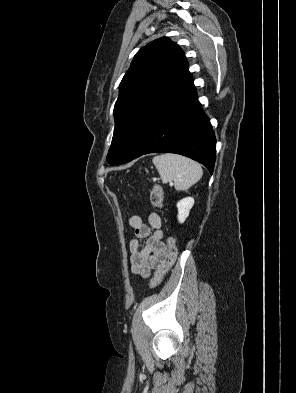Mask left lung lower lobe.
Returning <instances> with one entry per match:
<instances>
[{
	"label": "left lung lower lobe",
	"instance_id": "left-lung-lower-lobe-1",
	"mask_svg": "<svg viewBox=\"0 0 296 393\" xmlns=\"http://www.w3.org/2000/svg\"><path fill=\"white\" fill-rule=\"evenodd\" d=\"M148 153L181 154L213 173L216 139L193 81L153 121L126 162Z\"/></svg>",
	"mask_w": 296,
	"mask_h": 393
}]
</instances>
